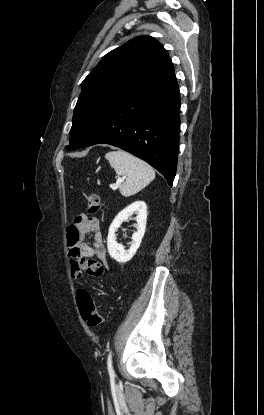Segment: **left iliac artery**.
I'll list each match as a JSON object with an SVG mask.
<instances>
[{
	"label": "left iliac artery",
	"instance_id": "obj_1",
	"mask_svg": "<svg viewBox=\"0 0 264 415\" xmlns=\"http://www.w3.org/2000/svg\"><path fill=\"white\" fill-rule=\"evenodd\" d=\"M111 358H112V353L110 351L109 355H108V360H107L108 372H109L110 377L114 378L115 377V372H114V369L112 367V359Z\"/></svg>",
	"mask_w": 264,
	"mask_h": 415
}]
</instances>
